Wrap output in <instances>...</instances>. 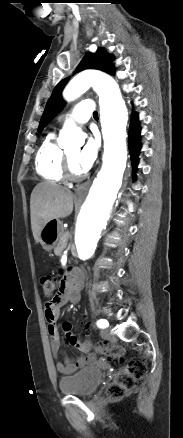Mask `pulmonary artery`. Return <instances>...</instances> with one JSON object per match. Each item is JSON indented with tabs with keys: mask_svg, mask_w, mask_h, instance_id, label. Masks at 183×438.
<instances>
[{
	"mask_svg": "<svg viewBox=\"0 0 183 438\" xmlns=\"http://www.w3.org/2000/svg\"><path fill=\"white\" fill-rule=\"evenodd\" d=\"M94 111V104L91 100L79 102L71 112V121L83 124L86 123Z\"/></svg>",
	"mask_w": 183,
	"mask_h": 438,
	"instance_id": "obj_1",
	"label": "pulmonary artery"
}]
</instances>
